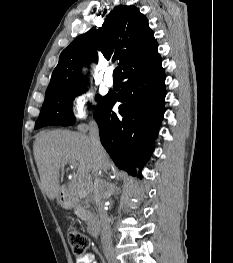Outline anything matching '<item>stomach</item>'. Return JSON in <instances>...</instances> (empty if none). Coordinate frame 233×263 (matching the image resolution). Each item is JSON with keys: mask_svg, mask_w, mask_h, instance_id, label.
Listing matches in <instances>:
<instances>
[{"mask_svg": "<svg viewBox=\"0 0 233 263\" xmlns=\"http://www.w3.org/2000/svg\"><path fill=\"white\" fill-rule=\"evenodd\" d=\"M58 204L64 208H68L70 206L69 200L66 196L60 195L57 198Z\"/></svg>", "mask_w": 233, "mask_h": 263, "instance_id": "1", "label": "stomach"}]
</instances>
